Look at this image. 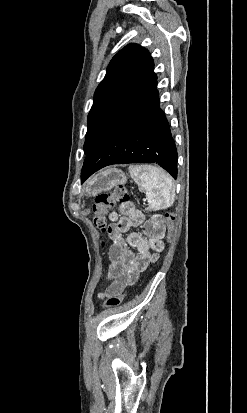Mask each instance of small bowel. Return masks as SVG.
Segmentation results:
<instances>
[{
	"label": "small bowel",
	"mask_w": 247,
	"mask_h": 413,
	"mask_svg": "<svg viewBox=\"0 0 247 413\" xmlns=\"http://www.w3.org/2000/svg\"><path fill=\"white\" fill-rule=\"evenodd\" d=\"M109 220L112 224L108 234L112 244L109 249L108 277L115 281L99 296L119 299L128 285L133 284L142 272L156 262L158 253L163 250V219L153 217L145 222L144 215L127 202L120 204L118 210L111 211ZM137 228H141L142 232L136 231ZM124 233H127L126 239ZM130 247L135 248V252ZM119 277L126 280H116Z\"/></svg>",
	"instance_id": "obj_1"
}]
</instances>
